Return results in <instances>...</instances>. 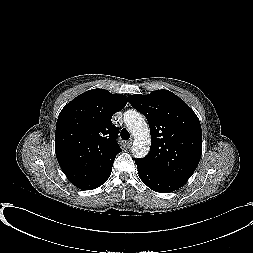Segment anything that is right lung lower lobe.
Returning <instances> with one entry per match:
<instances>
[{"mask_svg": "<svg viewBox=\"0 0 253 253\" xmlns=\"http://www.w3.org/2000/svg\"><path fill=\"white\" fill-rule=\"evenodd\" d=\"M111 169L108 172H106L105 174L99 176L98 178H96V179H94V180H92L90 182L78 185L76 187H78V188H80L82 190H92V189L98 188L103 183H105L107 181V179L110 177V175H111Z\"/></svg>", "mask_w": 253, "mask_h": 253, "instance_id": "obj_1", "label": "right lung lower lobe"}]
</instances>
